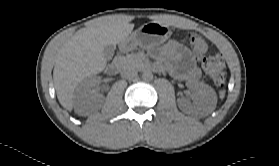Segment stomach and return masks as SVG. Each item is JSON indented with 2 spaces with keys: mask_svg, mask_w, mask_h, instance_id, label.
Returning <instances> with one entry per match:
<instances>
[{
  "mask_svg": "<svg viewBox=\"0 0 279 166\" xmlns=\"http://www.w3.org/2000/svg\"><path fill=\"white\" fill-rule=\"evenodd\" d=\"M171 34L169 27L164 24L146 23L125 38L120 43V48L123 51H131L137 47L150 49L164 43Z\"/></svg>",
  "mask_w": 279,
  "mask_h": 166,
  "instance_id": "obj_1",
  "label": "stomach"
}]
</instances>
